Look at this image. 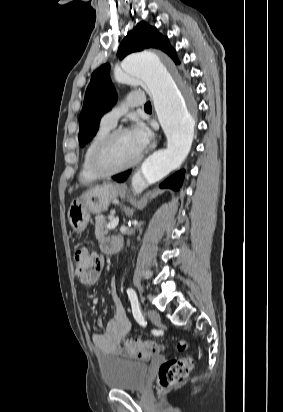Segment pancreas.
<instances>
[{"mask_svg":"<svg viewBox=\"0 0 283 412\" xmlns=\"http://www.w3.org/2000/svg\"><path fill=\"white\" fill-rule=\"evenodd\" d=\"M107 220L103 217H98L95 222V236L97 239L102 238L108 233Z\"/></svg>","mask_w":283,"mask_h":412,"instance_id":"pancreas-1","label":"pancreas"}]
</instances>
